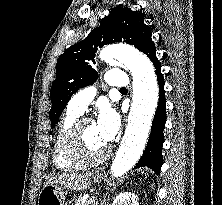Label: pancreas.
Returning <instances> with one entry per match:
<instances>
[{
    "mask_svg": "<svg viewBox=\"0 0 222 205\" xmlns=\"http://www.w3.org/2000/svg\"><path fill=\"white\" fill-rule=\"evenodd\" d=\"M75 205H97V204H96V199L94 197L89 199H84L82 196H80L75 202Z\"/></svg>",
    "mask_w": 222,
    "mask_h": 205,
    "instance_id": "cf45deb5",
    "label": "pancreas"
}]
</instances>
